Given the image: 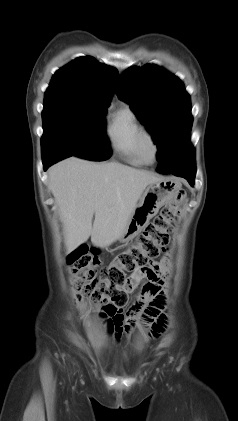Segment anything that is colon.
Returning a JSON list of instances; mask_svg holds the SVG:
<instances>
[{
    "instance_id": "obj_1",
    "label": "colon",
    "mask_w": 238,
    "mask_h": 421,
    "mask_svg": "<svg viewBox=\"0 0 238 421\" xmlns=\"http://www.w3.org/2000/svg\"><path fill=\"white\" fill-rule=\"evenodd\" d=\"M185 196V191H180L136 241L119 252L110 264L101 267L96 251H90L86 246L70 254L73 286L101 303L104 316L110 317L114 310L126 303L127 293L134 288L132 274L148 267L166 249Z\"/></svg>"
}]
</instances>
